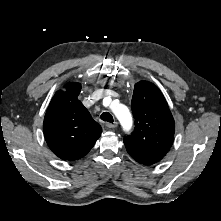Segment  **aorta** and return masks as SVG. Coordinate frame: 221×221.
Segmentation results:
<instances>
[{"label": "aorta", "instance_id": "762f6f07", "mask_svg": "<svg viewBox=\"0 0 221 221\" xmlns=\"http://www.w3.org/2000/svg\"><path fill=\"white\" fill-rule=\"evenodd\" d=\"M113 112L117 119L120 121L122 128L125 131L130 130L133 121L128 108L124 105H118L116 107H113Z\"/></svg>", "mask_w": 221, "mask_h": 221}]
</instances>
